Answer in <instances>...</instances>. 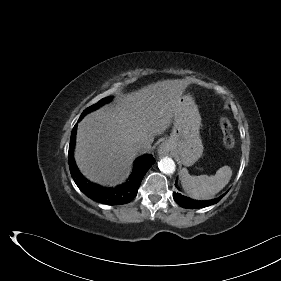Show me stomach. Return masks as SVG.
<instances>
[{"mask_svg":"<svg viewBox=\"0 0 281 281\" xmlns=\"http://www.w3.org/2000/svg\"><path fill=\"white\" fill-rule=\"evenodd\" d=\"M201 116L191 95L178 100L170 136L162 146L184 166H192L203 153L200 137Z\"/></svg>","mask_w":281,"mask_h":281,"instance_id":"obj_1","label":"stomach"}]
</instances>
